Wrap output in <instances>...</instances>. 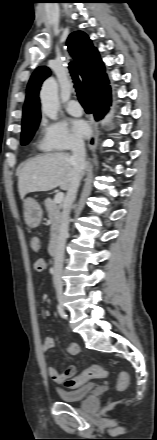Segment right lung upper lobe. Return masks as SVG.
I'll use <instances>...</instances> for the list:
<instances>
[{"label":"right lung upper lobe","mask_w":157,"mask_h":440,"mask_svg":"<svg viewBox=\"0 0 157 440\" xmlns=\"http://www.w3.org/2000/svg\"><path fill=\"white\" fill-rule=\"evenodd\" d=\"M67 46L91 99L96 100L109 95L110 86L108 85L109 81L103 62L88 36L82 31H75L70 34ZM49 75V69L44 67H38L32 74L27 86L22 126L39 123L40 102L38 93L43 80Z\"/></svg>","instance_id":"right-lung-upper-lobe-1"}]
</instances>
